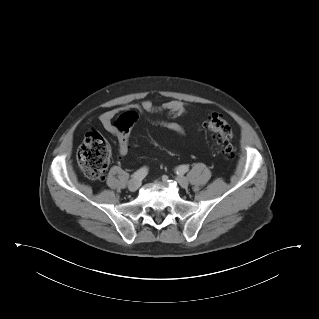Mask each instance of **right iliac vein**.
<instances>
[{"label": "right iliac vein", "instance_id": "right-iliac-vein-1", "mask_svg": "<svg viewBox=\"0 0 319 319\" xmlns=\"http://www.w3.org/2000/svg\"><path fill=\"white\" fill-rule=\"evenodd\" d=\"M141 186V181L140 179H132L129 181L128 183V189L131 192H135L136 190H138V188Z\"/></svg>", "mask_w": 319, "mask_h": 319}]
</instances>
